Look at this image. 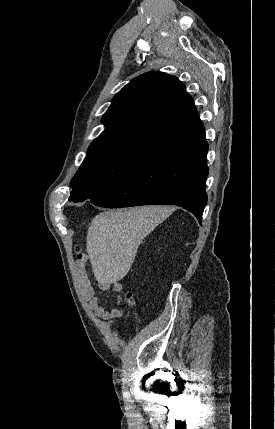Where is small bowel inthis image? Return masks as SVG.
Masks as SVG:
<instances>
[{
	"instance_id": "1",
	"label": "small bowel",
	"mask_w": 275,
	"mask_h": 429,
	"mask_svg": "<svg viewBox=\"0 0 275 429\" xmlns=\"http://www.w3.org/2000/svg\"><path fill=\"white\" fill-rule=\"evenodd\" d=\"M78 271V287L80 291V295L83 300H85L88 304L90 310L99 318L108 320L115 318L120 315L121 310L119 308L106 309L101 303L98 297L95 296V291L93 287L90 285L89 280L87 278L85 262L80 260L77 264ZM113 289L122 293V287L118 283L111 284ZM103 287L107 288L108 285H103Z\"/></svg>"
}]
</instances>
